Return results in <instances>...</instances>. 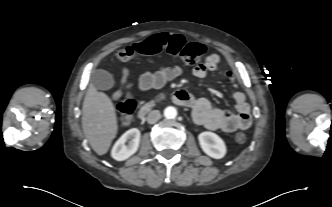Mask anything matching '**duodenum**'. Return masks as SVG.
<instances>
[{"label": "duodenum", "mask_w": 332, "mask_h": 207, "mask_svg": "<svg viewBox=\"0 0 332 207\" xmlns=\"http://www.w3.org/2000/svg\"><path fill=\"white\" fill-rule=\"evenodd\" d=\"M170 99L177 105L183 106V107H192L194 104V97L193 95L186 91V90H177L173 92L170 96ZM156 104L155 101H150L144 106L140 108L138 111L137 117L139 120L145 119V117L148 115V113L152 110L154 105Z\"/></svg>", "instance_id": "duodenum-1"}]
</instances>
